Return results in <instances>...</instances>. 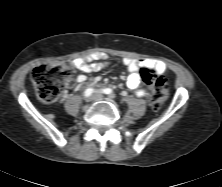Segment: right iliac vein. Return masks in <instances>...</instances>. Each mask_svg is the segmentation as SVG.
Segmentation results:
<instances>
[{
  "label": "right iliac vein",
  "instance_id": "63e3f726",
  "mask_svg": "<svg viewBox=\"0 0 222 187\" xmlns=\"http://www.w3.org/2000/svg\"><path fill=\"white\" fill-rule=\"evenodd\" d=\"M85 100H86V102H91V101L95 100L94 95L87 97Z\"/></svg>",
  "mask_w": 222,
  "mask_h": 187
}]
</instances>
